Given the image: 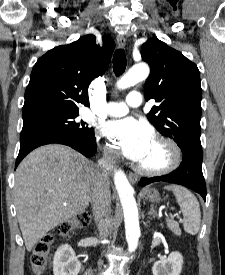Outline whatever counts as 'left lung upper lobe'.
Listing matches in <instances>:
<instances>
[{
    "mask_svg": "<svg viewBox=\"0 0 225 275\" xmlns=\"http://www.w3.org/2000/svg\"><path fill=\"white\" fill-rule=\"evenodd\" d=\"M141 56L151 67L145 99L160 103L147 114L149 121L181 150L201 146L202 89L197 66L156 37L142 45Z\"/></svg>",
    "mask_w": 225,
    "mask_h": 275,
    "instance_id": "1",
    "label": "left lung upper lobe"
}]
</instances>
